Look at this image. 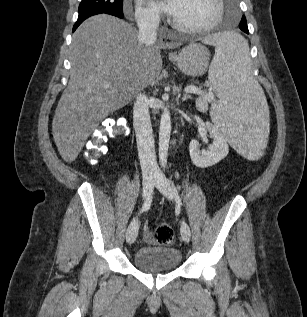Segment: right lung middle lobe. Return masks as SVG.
<instances>
[{
    "instance_id": "dd1d6c3e",
    "label": "right lung middle lobe",
    "mask_w": 307,
    "mask_h": 317,
    "mask_svg": "<svg viewBox=\"0 0 307 317\" xmlns=\"http://www.w3.org/2000/svg\"><path fill=\"white\" fill-rule=\"evenodd\" d=\"M123 0H82L79 5V16H85L94 13H106L121 17Z\"/></svg>"
}]
</instances>
